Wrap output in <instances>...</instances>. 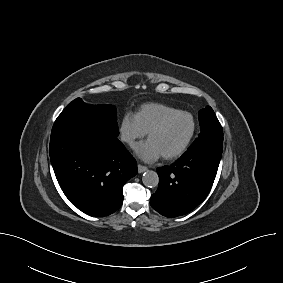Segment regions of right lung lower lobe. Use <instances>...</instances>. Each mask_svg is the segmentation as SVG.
<instances>
[{
  "label": "right lung lower lobe",
  "mask_w": 283,
  "mask_h": 283,
  "mask_svg": "<svg viewBox=\"0 0 283 283\" xmlns=\"http://www.w3.org/2000/svg\"><path fill=\"white\" fill-rule=\"evenodd\" d=\"M49 152L63 193L91 216L117 211L123 203V185L138 171L117 137L87 125H54Z\"/></svg>",
  "instance_id": "98d812e1"
}]
</instances>
